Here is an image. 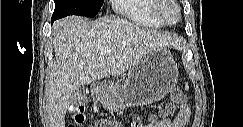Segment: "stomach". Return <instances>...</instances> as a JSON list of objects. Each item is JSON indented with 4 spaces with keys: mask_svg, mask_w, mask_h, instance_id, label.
<instances>
[{
    "mask_svg": "<svg viewBox=\"0 0 243 127\" xmlns=\"http://www.w3.org/2000/svg\"><path fill=\"white\" fill-rule=\"evenodd\" d=\"M178 79V67L169 49L159 48L144 55L120 83L95 84L94 92L103 106L118 112L130 106H143L163 99Z\"/></svg>",
    "mask_w": 243,
    "mask_h": 127,
    "instance_id": "0dacf381",
    "label": "stomach"
}]
</instances>
